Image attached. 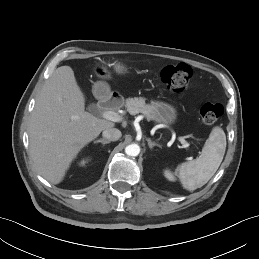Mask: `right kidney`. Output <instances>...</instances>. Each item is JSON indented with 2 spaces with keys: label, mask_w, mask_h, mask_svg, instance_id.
Returning a JSON list of instances; mask_svg holds the SVG:
<instances>
[{
  "label": "right kidney",
  "mask_w": 259,
  "mask_h": 259,
  "mask_svg": "<svg viewBox=\"0 0 259 259\" xmlns=\"http://www.w3.org/2000/svg\"><path fill=\"white\" fill-rule=\"evenodd\" d=\"M87 161L86 160H82L81 162H80V165H85V163H86Z\"/></svg>",
  "instance_id": "1"
}]
</instances>
